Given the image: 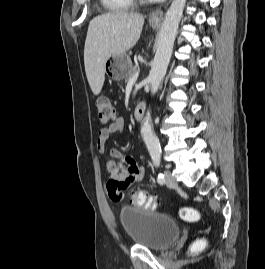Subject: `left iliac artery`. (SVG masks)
<instances>
[{
  "label": "left iliac artery",
  "mask_w": 265,
  "mask_h": 269,
  "mask_svg": "<svg viewBox=\"0 0 265 269\" xmlns=\"http://www.w3.org/2000/svg\"><path fill=\"white\" fill-rule=\"evenodd\" d=\"M152 160H153L154 165L158 168L160 166V163H161L160 156H153ZM157 182L159 184H164L165 183V178H164V175L162 173L158 174Z\"/></svg>",
  "instance_id": "1"
}]
</instances>
